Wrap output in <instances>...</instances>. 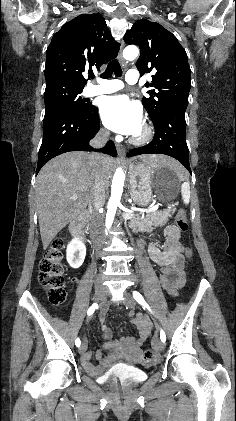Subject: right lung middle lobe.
<instances>
[{
	"instance_id": "right-lung-middle-lobe-1",
	"label": "right lung middle lobe",
	"mask_w": 236,
	"mask_h": 421,
	"mask_svg": "<svg viewBox=\"0 0 236 421\" xmlns=\"http://www.w3.org/2000/svg\"><path fill=\"white\" fill-rule=\"evenodd\" d=\"M83 89L60 86H46L44 93L45 116L57 111L84 113L90 104L80 96Z\"/></svg>"
}]
</instances>
